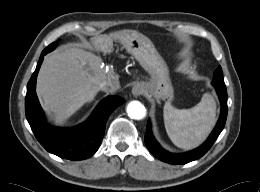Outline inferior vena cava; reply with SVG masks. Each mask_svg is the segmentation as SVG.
I'll list each match as a JSON object with an SVG mask.
<instances>
[{"instance_id": "obj_1", "label": "inferior vena cava", "mask_w": 260, "mask_h": 192, "mask_svg": "<svg viewBox=\"0 0 260 192\" xmlns=\"http://www.w3.org/2000/svg\"><path fill=\"white\" fill-rule=\"evenodd\" d=\"M100 87L104 91L114 92L120 88L119 80L118 78H111L109 80L102 82L100 84Z\"/></svg>"}]
</instances>
